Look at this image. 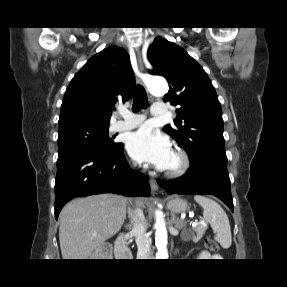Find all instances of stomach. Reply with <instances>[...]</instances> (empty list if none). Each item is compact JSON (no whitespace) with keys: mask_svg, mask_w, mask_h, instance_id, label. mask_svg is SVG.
I'll list each match as a JSON object with an SVG mask.
<instances>
[{"mask_svg":"<svg viewBox=\"0 0 287 287\" xmlns=\"http://www.w3.org/2000/svg\"><path fill=\"white\" fill-rule=\"evenodd\" d=\"M167 207L173 213H182L189 209L187 202L180 198H171L167 202Z\"/></svg>","mask_w":287,"mask_h":287,"instance_id":"obj_1","label":"stomach"}]
</instances>
